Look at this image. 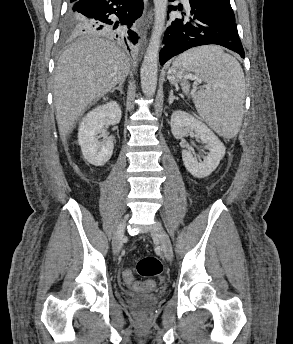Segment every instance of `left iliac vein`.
<instances>
[{
	"label": "left iliac vein",
	"mask_w": 293,
	"mask_h": 344,
	"mask_svg": "<svg viewBox=\"0 0 293 344\" xmlns=\"http://www.w3.org/2000/svg\"><path fill=\"white\" fill-rule=\"evenodd\" d=\"M151 236L157 240H159L160 245L163 249V252L168 260H172L173 258V250L170 238L164 228L162 227L159 221H156L152 230Z\"/></svg>",
	"instance_id": "obj_1"
}]
</instances>
